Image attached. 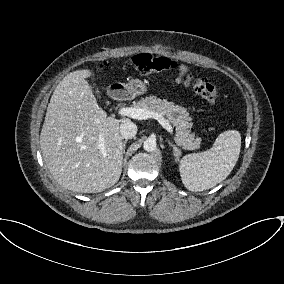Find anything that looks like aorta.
<instances>
[{
  "label": "aorta",
  "mask_w": 284,
  "mask_h": 284,
  "mask_svg": "<svg viewBox=\"0 0 284 284\" xmlns=\"http://www.w3.org/2000/svg\"><path fill=\"white\" fill-rule=\"evenodd\" d=\"M143 148L147 152H153L156 149V140L154 138H148L143 143Z\"/></svg>",
  "instance_id": "obj_1"
}]
</instances>
